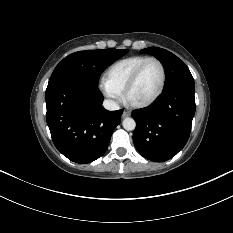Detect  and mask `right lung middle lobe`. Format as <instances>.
<instances>
[{"instance_id": "1", "label": "right lung middle lobe", "mask_w": 233, "mask_h": 233, "mask_svg": "<svg viewBox=\"0 0 233 233\" xmlns=\"http://www.w3.org/2000/svg\"><path fill=\"white\" fill-rule=\"evenodd\" d=\"M128 52L127 49L79 51L65 57L54 69L49 82L75 80L98 86L103 70Z\"/></svg>"}]
</instances>
